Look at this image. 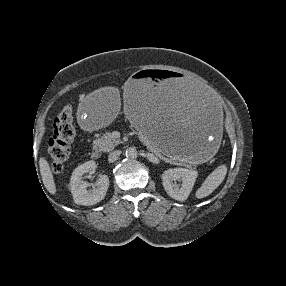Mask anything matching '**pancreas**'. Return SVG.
<instances>
[{
  "label": "pancreas",
  "mask_w": 286,
  "mask_h": 286,
  "mask_svg": "<svg viewBox=\"0 0 286 286\" xmlns=\"http://www.w3.org/2000/svg\"><path fill=\"white\" fill-rule=\"evenodd\" d=\"M141 141L147 146V149L149 151L153 152L154 154H156L157 156H159L160 158H162L166 162L176 163V161L179 159L178 157H173V156H168L169 158L164 157L163 154L159 151V149L152 146L149 143L148 139H146V138L142 137ZM120 143H121L120 139H116L113 137L112 133L106 132L100 138L93 141V148L95 150H99L102 152H109V151L113 150L114 147Z\"/></svg>",
  "instance_id": "pancreas-1"
}]
</instances>
